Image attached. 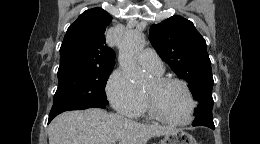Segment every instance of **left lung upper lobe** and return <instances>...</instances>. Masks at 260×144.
Here are the masks:
<instances>
[{"label": "left lung upper lobe", "mask_w": 260, "mask_h": 144, "mask_svg": "<svg viewBox=\"0 0 260 144\" xmlns=\"http://www.w3.org/2000/svg\"><path fill=\"white\" fill-rule=\"evenodd\" d=\"M150 42L174 73L190 84L192 95L199 102L193 125L214 128V81L205 39L191 21L177 15L153 24L150 27Z\"/></svg>", "instance_id": "obj_1"}]
</instances>
